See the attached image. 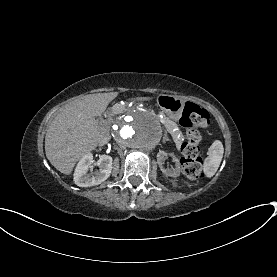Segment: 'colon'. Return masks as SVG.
Returning a JSON list of instances; mask_svg holds the SVG:
<instances>
[{
  "label": "colon",
  "mask_w": 277,
  "mask_h": 277,
  "mask_svg": "<svg viewBox=\"0 0 277 277\" xmlns=\"http://www.w3.org/2000/svg\"><path fill=\"white\" fill-rule=\"evenodd\" d=\"M179 122L186 130V140L180 146L182 171L190 179H201L204 176V167L203 159L199 156L200 130L209 126L210 115L198 105L187 103Z\"/></svg>",
  "instance_id": "5ec220e1"
}]
</instances>
